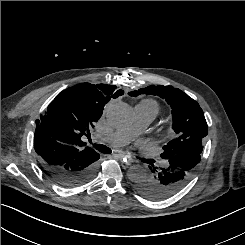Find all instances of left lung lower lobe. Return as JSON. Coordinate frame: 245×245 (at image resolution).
<instances>
[{
  "instance_id": "obj_1",
  "label": "left lung lower lobe",
  "mask_w": 245,
  "mask_h": 245,
  "mask_svg": "<svg viewBox=\"0 0 245 245\" xmlns=\"http://www.w3.org/2000/svg\"><path fill=\"white\" fill-rule=\"evenodd\" d=\"M200 160V153L183 152L167 159L164 167L151 164L152 175L138 181L136 188L149 199H167L186 186Z\"/></svg>"
}]
</instances>
